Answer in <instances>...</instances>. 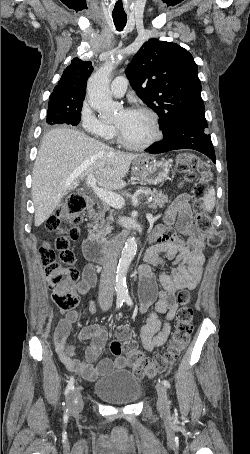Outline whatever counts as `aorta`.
Returning <instances> with one entry per match:
<instances>
[{"label": "aorta", "instance_id": "762f6f07", "mask_svg": "<svg viewBox=\"0 0 250 454\" xmlns=\"http://www.w3.org/2000/svg\"><path fill=\"white\" fill-rule=\"evenodd\" d=\"M118 63L119 61L114 59L105 62L91 75L87 83L88 103L103 117H111L121 108L120 104L113 101L109 89L111 73ZM136 251V239L134 237L128 238L122 250L116 272L115 291L119 301L128 298L126 275Z\"/></svg>", "mask_w": 250, "mask_h": 454}]
</instances>
